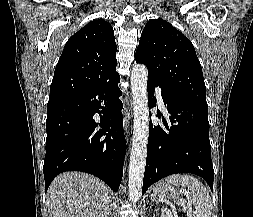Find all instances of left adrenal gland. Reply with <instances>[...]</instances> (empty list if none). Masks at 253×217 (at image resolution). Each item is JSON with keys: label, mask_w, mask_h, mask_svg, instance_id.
Listing matches in <instances>:
<instances>
[{"label": "left adrenal gland", "mask_w": 253, "mask_h": 217, "mask_svg": "<svg viewBox=\"0 0 253 217\" xmlns=\"http://www.w3.org/2000/svg\"><path fill=\"white\" fill-rule=\"evenodd\" d=\"M154 200V198H151V201H153Z\"/></svg>", "instance_id": "1"}]
</instances>
